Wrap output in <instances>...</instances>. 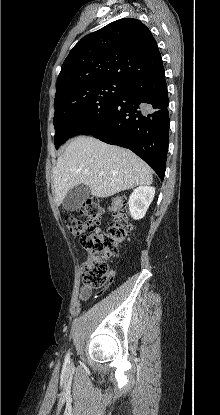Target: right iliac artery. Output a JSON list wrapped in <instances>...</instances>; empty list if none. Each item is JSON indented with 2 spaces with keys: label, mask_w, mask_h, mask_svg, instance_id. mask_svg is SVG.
<instances>
[{
  "label": "right iliac artery",
  "mask_w": 220,
  "mask_h": 415,
  "mask_svg": "<svg viewBox=\"0 0 220 415\" xmlns=\"http://www.w3.org/2000/svg\"><path fill=\"white\" fill-rule=\"evenodd\" d=\"M65 361L68 362L69 361V353L66 355Z\"/></svg>",
  "instance_id": "right-iliac-artery-1"
}]
</instances>
